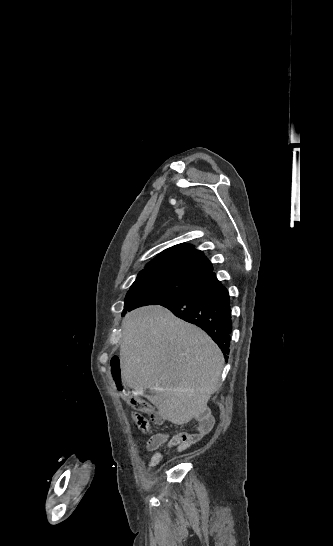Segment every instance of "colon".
<instances>
[{
	"mask_svg": "<svg viewBox=\"0 0 333 546\" xmlns=\"http://www.w3.org/2000/svg\"><path fill=\"white\" fill-rule=\"evenodd\" d=\"M110 371L112 373V376L114 378V381L116 382V385L120 388L121 385V366L120 361L118 357H113L110 361ZM122 389V388H120ZM125 392V390H122ZM127 400L129 405L132 407L133 410H135L134 413H132V420L133 422L138 426L140 431L144 434H149L152 431V427L150 424V421L142 415V413L153 415V407L152 405L147 402L146 400L129 395L127 396Z\"/></svg>",
	"mask_w": 333,
	"mask_h": 546,
	"instance_id": "5ec220e1",
	"label": "colon"
}]
</instances>
